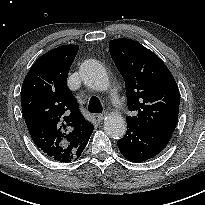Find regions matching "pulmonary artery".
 <instances>
[{
	"label": "pulmonary artery",
	"mask_w": 205,
	"mask_h": 205,
	"mask_svg": "<svg viewBox=\"0 0 205 205\" xmlns=\"http://www.w3.org/2000/svg\"><path fill=\"white\" fill-rule=\"evenodd\" d=\"M123 115H126L127 114V110L125 107H123V111H122Z\"/></svg>",
	"instance_id": "pulmonary-artery-1"
}]
</instances>
